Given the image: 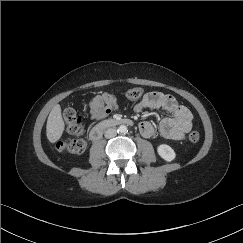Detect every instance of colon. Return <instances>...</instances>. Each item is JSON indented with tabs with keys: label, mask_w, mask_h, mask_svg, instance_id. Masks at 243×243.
<instances>
[{
	"label": "colon",
	"mask_w": 243,
	"mask_h": 243,
	"mask_svg": "<svg viewBox=\"0 0 243 243\" xmlns=\"http://www.w3.org/2000/svg\"><path fill=\"white\" fill-rule=\"evenodd\" d=\"M142 96V89L134 87L126 92V97L131 101H136ZM63 119L67 128L75 135L81 136L83 133V117L80 113L72 108H66L63 111ZM191 142H197L200 139V134L197 131H192L188 135ZM57 149L68 150L72 153H82L86 148V142L83 138L78 137L72 140H62L57 143Z\"/></svg>",
	"instance_id": "5ec220e1"
}]
</instances>
